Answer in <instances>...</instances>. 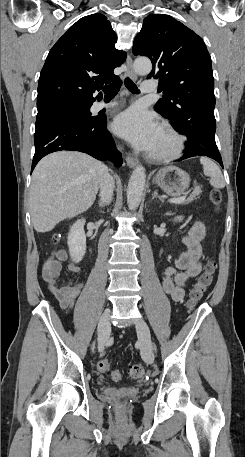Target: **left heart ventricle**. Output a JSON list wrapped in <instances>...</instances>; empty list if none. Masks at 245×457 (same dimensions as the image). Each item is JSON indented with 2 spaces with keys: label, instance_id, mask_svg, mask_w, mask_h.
I'll return each mask as SVG.
<instances>
[{
  "label": "left heart ventricle",
  "instance_id": "left-heart-ventricle-1",
  "mask_svg": "<svg viewBox=\"0 0 245 457\" xmlns=\"http://www.w3.org/2000/svg\"><path fill=\"white\" fill-rule=\"evenodd\" d=\"M171 139L164 136L162 133L160 134L159 136V139L157 141V143L155 144V146L151 149V150H157V149H161V148H165V147H168L170 144H171Z\"/></svg>",
  "mask_w": 245,
  "mask_h": 457
}]
</instances>
